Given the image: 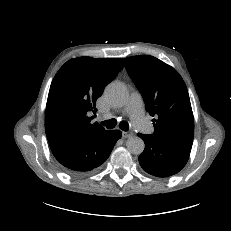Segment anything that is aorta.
<instances>
[{
    "label": "aorta",
    "instance_id": "762f6f07",
    "mask_svg": "<svg viewBox=\"0 0 231 231\" xmlns=\"http://www.w3.org/2000/svg\"><path fill=\"white\" fill-rule=\"evenodd\" d=\"M105 96L112 105L121 106L125 104L128 94L122 83L112 82L106 87ZM126 147L131 154L140 155L144 151L145 143L140 137L133 136L128 138Z\"/></svg>",
    "mask_w": 231,
    "mask_h": 231
}]
</instances>
